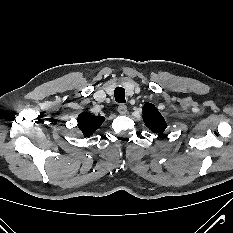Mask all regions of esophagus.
<instances>
[{
  "instance_id": "1",
  "label": "esophagus",
  "mask_w": 233,
  "mask_h": 233,
  "mask_svg": "<svg viewBox=\"0 0 233 233\" xmlns=\"http://www.w3.org/2000/svg\"><path fill=\"white\" fill-rule=\"evenodd\" d=\"M118 112L121 114V115H125L127 114V107L126 105H119L118 108H117Z\"/></svg>"
}]
</instances>
